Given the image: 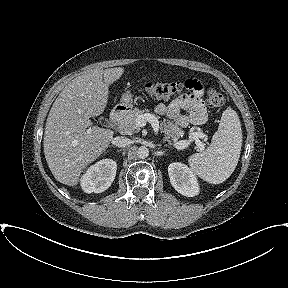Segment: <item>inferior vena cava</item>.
I'll list each match as a JSON object with an SVG mask.
<instances>
[{
    "instance_id": "obj_1",
    "label": "inferior vena cava",
    "mask_w": 288,
    "mask_h": 288,
    "mask_svg": "<svg viewBox=\"0 0 288 288\" xmlns=\"http://www.w3.org/2000/svg\"><path fill=\"white\" fill-rule=\"evenodd\" d=\"M130 143H131V140L123 136H117L112 139V144L118 147H126Z\"/></svg>"
}]
</instances>
